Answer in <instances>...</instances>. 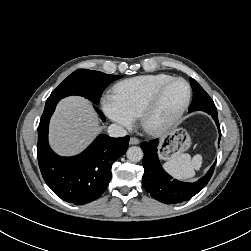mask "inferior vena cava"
Here are the masks:
<instances>
[{"label": "inferior vena cava", "mask_w": 251, "mask_h": 251, "mask_svg": "<svg viewBox=\"0 0 251 251\" xmlns=\"http://www.w3.org/2000/svg\"><path fill=\"white\" fill-rule=\"evenodd\" d=\"M111 137H123L127 135V131L120 125L111 124L107 130Z\"/></svg>", "instance_id": "inferior-vena-cava-1"}]
</instances>
